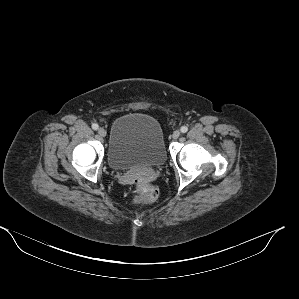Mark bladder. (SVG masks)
<instances>
[{"label":"bladder","instance_id":"31cf9c89","mask_svg":"<svg viewBox=\"0 0 299 299\" xmlns=\"http://www.w3.org/2000/svg\"><path fill=\"white\" fill-rule=\"evenodd\" d=\"M167 150L159 122L143 113H128L112 124L107 152L111 169L124 171L137 167H161Z\"/></svg>","mask_w":299,"mask_h":299}]
</instances>
